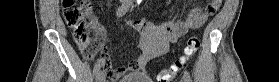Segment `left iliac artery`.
<instances>
[{"instance_id": "obj_1", "label": "left iliac artery", "mask_w": 279, "mask_h": 82, "mask_svg": "<svg viewBox=\"0 0 279 82\" xmlns=\"http://www.w3.org/2000/svg\"><path fill=\"white\" fill-rule=\"evenodd\" d=\"M141 3V0H138V5ZM183 81L184 82H192L190 74L187 70L184 71V75H183Z\"/></svg>"}]
</instances>
